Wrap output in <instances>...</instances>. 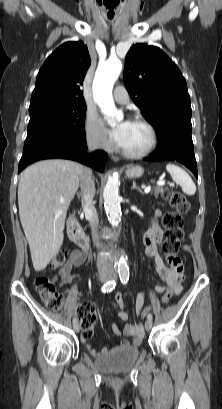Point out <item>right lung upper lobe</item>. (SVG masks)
Returning a JSON list of instances; mask_svg holds the SVG:
<instances>
[{
  "label": "right lung upper lobe",
  "instance_id": "cb5924a9",
  "mask_svg": "<svg viewBox=\"0 0 222 409\" xmlns=\"http://www.w3.org/2000/svg\"><path fill=\"white\" fill-rule=\"evenodd\" d=\"M91 64L83 42H66L45 61L36 79L30 108L45 104L85 102L80 86Z\"/></svg>",
  "mask_w": 222,
  "mask_h": 409
}]
</instances>
